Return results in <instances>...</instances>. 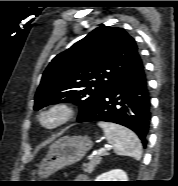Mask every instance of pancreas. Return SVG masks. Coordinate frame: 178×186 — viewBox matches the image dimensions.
I'll return each instance as SVG.
<instances>
[{
    "label": "pancreas",
    "mask_w": 178,
    "mask_h": 186,
    "mask_svg": "<svg viewBox=\"0 0 178 186\" xmlns=\"http://www.w3.org/2000/svg\"><path fill=\"white\" fill-rule=\"evenodd\" d=\"M100 161H101L100 155L91 158L88 163L83 164V171L85 173H92L94 171L95 167L100 163Z\"/></svg>",
    "instance_id": "cf45deb5"
}]
</instances>
